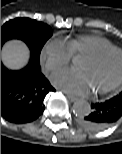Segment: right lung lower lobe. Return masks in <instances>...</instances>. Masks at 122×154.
Instances as JSON below:
<instances>
[{"label": "right lung lower lobe", "mask_w": 122, "mask_h": 154, "mask_svg": "<svg viewBox=\"0 0 122 154\" xmlns=\"http://www.w3.org/2000/svg\"><path fill=\"white\" fill-rule=\"evenodd\" d=\"M51 91L55 89L32 56L28 66L19 71L8 70L1 63V116L7 121L21 124L37 119Z\"/></svg>", "instance_id": "right-lung-lower-lobe-1"}]
</instances>
